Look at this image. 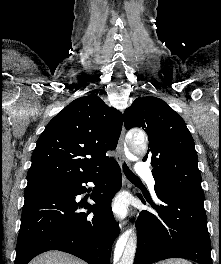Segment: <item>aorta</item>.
<instances>
[{
  "mask_svg": "<svg viewBox=\"0 0 221 264\" xmlns=\"http://www.w3.org/2000/svg\"><path fill=\"white\" fill-rule=\"evenodd\" d=\"M129 149L137 154L144 155L147 151V138L144 134L131 135L128 138ZM137 247V234L130 230L117 241L114 251V264H133Z\"/></svg>",
  "mask_w": 221,
  "mask_h": 264,
  "instance_id": "1",
  "label": "aorta"
}]
</instances>
